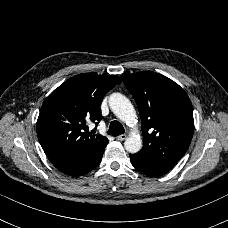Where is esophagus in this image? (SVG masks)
<instances>
[{"label": "esophagus", "mask_w": 228, "mask_h": 228, "mask_svg": "<svg viewBox=\"0 0 228 228\" xmlns=\"http://www.w3.org/2000/svg\"><path fill=\"white\" fill-rule=\"evenodd\" d=\"M125 139H126V134H122V135H119V136L116 137L117 141H123Z\"/></svg>", "instance_id": "1"}]
</instances>
